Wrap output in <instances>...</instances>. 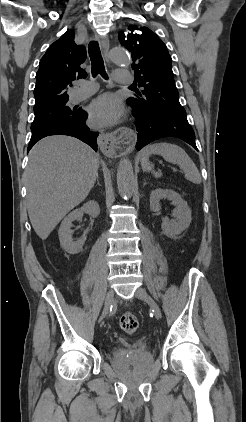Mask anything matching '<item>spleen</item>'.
<instances>
[{
	"label": "spleen",
	"instance_id": "1",
	"mask_svg": "<svg viewBox=\"0 0 246 422\" xmlns=\"http://www.w3.org/2000/svg\"><path fill=\"white\" fill-rule=\"evenodd\" d=\"M152 154L161 155L167 162L177 164L184 172L185 178L190 182L194 184L201 183L202 179L199 170L189 155L180 146L170 143H154L141 151V166L143 171L151 172L156 178H159L162 176V173L155 172L154 165L149 161V157Z\"/></svg>",
	"mask_w": 246,
	"mask_h": 422
}]
</instances>
